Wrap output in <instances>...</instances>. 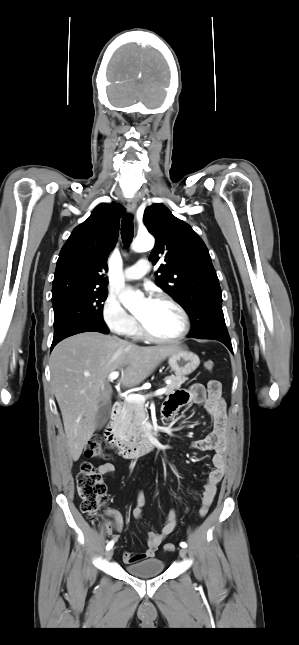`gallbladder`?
<instances>
[{"instance_id":"obj_1","label":"gallbladder","mask_w":299,"mask_h":645,"mask_svg":"<svg viewBox=\"0 0 299 645\" xmlns=\"http://www.w3.org/2000/svg\"><path fill=\"white\" fill-rule=\"evenodd\" d=\"M111 412V403L107 402L99 407L96 423L97 428L101 429L108 421Z\"/></svg>"}]
</instances>
